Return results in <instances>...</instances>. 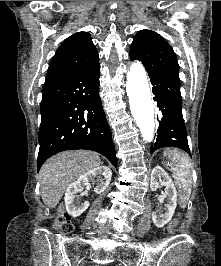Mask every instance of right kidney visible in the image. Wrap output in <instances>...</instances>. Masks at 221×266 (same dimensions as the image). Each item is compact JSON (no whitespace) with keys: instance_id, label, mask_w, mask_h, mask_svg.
<instances>
[{"instance_id":"1","label":"right kidney","mask_w":221,"mask_h":266,"mask_svg":"<svg viewBox=\"0 0 221 266\" xmlns=\"http://www.w3.org/2000/svg\"><path fill=\"white\" fill-rule=\"evenodd\" d=\"M111 176L112 171L107 166H98L80 176L66 190L64 199L67 212L72 217L80 216L89 207V202L80 203L78 200H75L76 195L82 192L85 187L90 188V181L95 182V178L98 183L94 191L102 193L108 187Z\"/></svg>"}]
</instances>
